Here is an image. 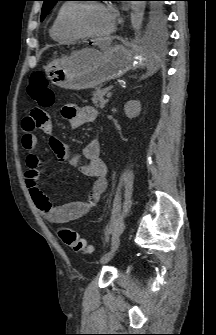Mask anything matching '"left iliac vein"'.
I'll return each mask as SVG.
<instances>
[{
  "label": "left iliac vein",
  "instance_id": "obj_1",
  "mask_svg": "<svg viewBox=\"0 0 216 335\" xmlns=\"http://www.w3.org/2000/svg\"><path fill=\"white\" fill-rule=\"evenodd\" d=\"M115 253H116V249H113L107 252L106 254H104L100 260L101 264H105L109 262L114 257Z\"/></svg>",
  "mask_w": 216,
  "mask_h": 335
}]
</instances>
